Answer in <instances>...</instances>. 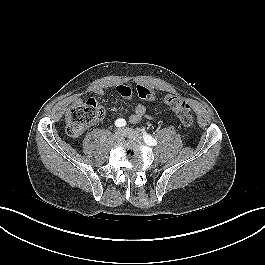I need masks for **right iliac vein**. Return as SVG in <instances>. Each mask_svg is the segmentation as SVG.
<instances>
[{
    "instance_id": "1",
    "label": "right iliac vein",
    "mask_w": 265,
    "mask_h": 265,
    "mask_svg": "<svg viewBox=\"0 0 265 265\" xmlns=\"http://www.w3.org/2000/svg\"><path fill=\"white\" fill-rule=\"evenodd\" d=\"M113 138L116 142H121L124 140L125 138V131H123L122 129H118L116 130V132L113 135Z\"/></svg>"
}]
</instances>
